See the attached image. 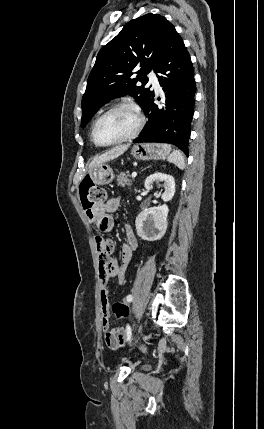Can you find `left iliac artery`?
I'll list each match as a JSON object with an SVG mask.
<instances>
[{"mask_svg": "<svg viewBox=\"0 0 264 429\" xmlns=\"http://www.w3.org/2000/svg\"><path fill=\"white\" fill-rule=\"evenodd\" d=\"M126 300H127L128 302H131V301L133 300V296H132V295H128V296L126 297ZM126 333H127V340H130V339H131V336H132V332H131V328H130V326H129V325H127V327H126Z\"/></svg>", "mask_w": 264, "mask_h": 429, "instance_id": "1", "label": "left iliac artery"}]
</instances>
